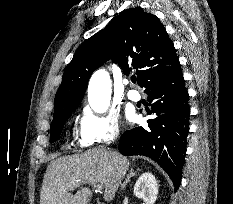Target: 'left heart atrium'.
Returning <instances> with one entry per match:
<instances>
[{
  "mask_svg": "<svg viewBox=\"0 0 233 204\" xmlns=\"http://www.w3.org/2000/svg\"><path fill=\"white\" fill-rule=\"evenodd\" d=\"M127 117H128V119H130V120H131V119H133V118H134V115H133L132 113H128V114H127Z\"/></svg>",
  "mask_w": 233,
  "mask_h": 204,
  "instance_id": "1",
  "label": "left heart atrium"
}]
</instances>
